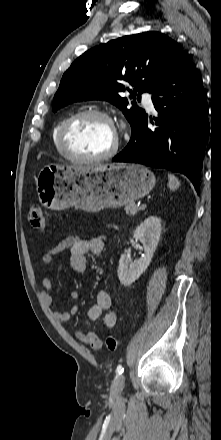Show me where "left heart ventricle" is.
I'll list each match as a JSON object with an SVG mask.
<instances>
[{
    "instance_id": "obj_1",
    "label": "left heart ventricle",
    "mask_w": 221,
    "mask_h": 440,
    "mask_svg": "<svg viewBox=\"0 0 221 440\" xmlns=\"http://www.w3.org/2000/svg\"><path fill=\"white\" fill-rule=\"evenodd\" d=\"M115 132L105 119L85 117L78 120L69 130V148L82 156H98L107 152L114 144Z\"/></svg>"
}]
</instances>
